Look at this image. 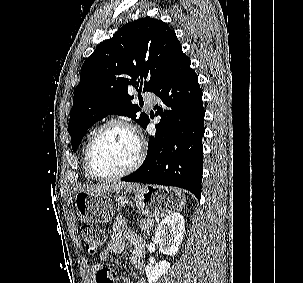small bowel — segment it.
<instances>
[{"mask_svg":"<svg viewBox=\"0 0 303 283\" xmlns=\"http://www.w3.org/2000/svg\"><path fill=\"white\" fill-rule=\"evenodd\" d=\"M126 242L132 246L130 262L135 268H140L144 257V241L126 223L123 217H116L113 221V232L108 241L107 248L99 253L100 261H106L110 255H118L125 249ZM102 268L100 263L92 267V273H96ZM122 283H132L128 277ZM137 283H144L139 280Z\"/></svg>","mask_w":303,"mask_h":283,"instance_id":"obj_1","label":"small bowel"}]
</instances>
